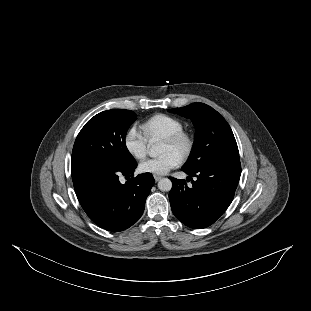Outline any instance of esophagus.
I'll return each instance as SVG.
<instances>
[{
  "instance_id": "obj_1",
  "label": "esophagus",
  "mask_w": 311,
  "mask_h": 311,
  "mask_svg": "<svg viewBox=\"0 0 311 311\" xmlns=\"http://www.w3.org/2000/svg\"><path fill=\"white\" fill-rule=\"evenodd\" d=\"M154 179L156 182H158L161 179V176L154 174Z\"/></svg>"
}]
</instances>
